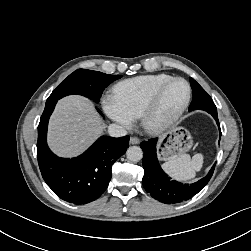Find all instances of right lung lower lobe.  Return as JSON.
<instances>
[{
  "label": "right lung lower lobe",
  "instance_id": "98d812e1",
  "mask_svg": "<svg viewBox=\"0 0 251 251\" xmlns=\"http://www.w3.org/2000/svg\"><path fill=\"white\" fill-rule=\"evenodd\" d=\"M56 103H46L38 125L39 168L44 181L58 197L73 204H86L106 190L112 177V165L126 152L129 136H102L82 155L60 158L51 152L46 142L48 120Z\"/></svg>",
  "mask_w": 251,
  "mask_h": 251
}]
</instances>
